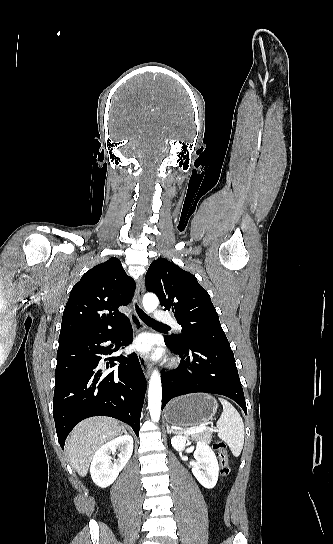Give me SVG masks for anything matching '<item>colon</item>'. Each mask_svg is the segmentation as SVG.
<instances>
[{
	"label": "colon",
	"mask_w": 333,
	"mask_h": 544,
	"mask_svg": "<svg viewBox=\"0 0 333 544\" xmlns=\"http://www.w3.org/2000/svg\"><path fill=\"white\" fill-rule=\"evenodd\" d=\"M213 448L219 457L221 467L220 473L223 477H226L230 472L227 445L224 441L218 440L214 443Z\"/></svg>",
	"instance_id": "colon-1"
}]
</instances>
